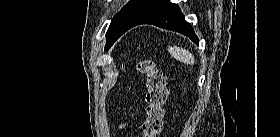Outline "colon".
Instances as JSON below:
<instances>
[{"mask_svg":"<svg viewBox=\"0 0 280 137\" xmlns=\"http://www.w3.org/2000/svg\"><path fill=\"white\" fill-rule=\"evenodd\" d=\"M136 69L145 76L147 87L146 118L143 122V137H158L162 129L163 109L167 98V88L162 70L152 60L136 62ZM122 123L119 128L125 129Z\"/></svg>","mask_w":280,"mask_h":137,"instance_id":"obj_1","label":"colon"}]
</instances>
